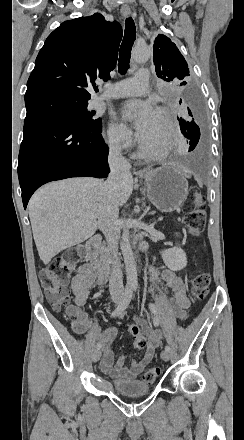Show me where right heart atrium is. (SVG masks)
<instances>
[{"mask_svg":"<svg viewBox=\"0 0 244 440\" xmlns=\"http://www.w3.org/2000/svg\"><path fill=\"white\" fill-rule=\"evenodd\" d=\"M141 139L124 124L112 122L108 126L107 142L112 149L120 150L131 147Z\"/></svg>","mask_w":244,"mask_h":440,"instance_id":"right-heart-atrium-1","label":"right heart atrium"}]
</instances>
